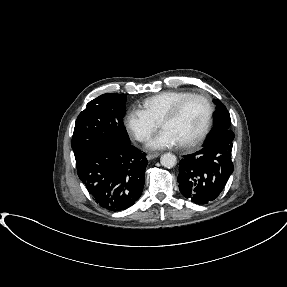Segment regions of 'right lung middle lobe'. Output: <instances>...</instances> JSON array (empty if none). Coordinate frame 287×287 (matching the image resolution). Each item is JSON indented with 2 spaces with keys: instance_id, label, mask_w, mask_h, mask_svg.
<instances>
[{
  "instance_id": "dd1d6c3e",
  "label": "right lung middle lobe",
  "mask_w": 287,
  "mask_h": 287,
  "mask_svg": "<svg viewBox=\"0 0 287 287\" xmlns=\"http://www.w3.org/2000/svg\"><path fill=\"white\" fill-rule=\"evenodd\" d=\"M125 102V94H103L87 104L75 122L71 142L75 156L99 143L130 144L123 124Z\"/></svg>"
}]
</instances>
